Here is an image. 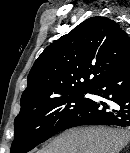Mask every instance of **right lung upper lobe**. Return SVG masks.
I'll return each mask as SVG.
<instances>
[{
	"instance_id": "obj_1",
	"label": "right lung upper lobe",
	"mask_w": 130,
	"mask_h": 153,
	"mask_svg": "<svg viewBox=\"0 0 130 153\" xmlns=\"http://www.w3.org/2000/svg\"><path fill=\"white\" fill-rule=\"evenodd\" d=\"M130 61L127 33L107 17H91L49 45L32 66L20 114L46 101L80 91Z\"/></svg>"
}]
</instances>
